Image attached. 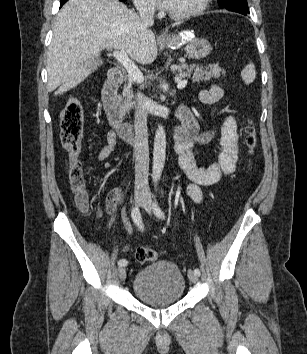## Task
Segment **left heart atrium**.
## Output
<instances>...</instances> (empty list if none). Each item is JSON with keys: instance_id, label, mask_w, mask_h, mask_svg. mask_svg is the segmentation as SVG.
I'll return each mask as SVG.
<instances>
[{"instance_id": "obj_1", "label": "left heart atrium", "mask_w": 307, "mask_h": 354, "mask_svg": "<svg viewBox=\"0 0 307 354\" xmlns=\"http://www.w3.org/2000/svg\"><path fill=\"white\" fill-rule=\"evenodd\" d=\"M154 1L159 7L166 10H171L175 2V0H154Z\"/></svg>"}]
</instances>
